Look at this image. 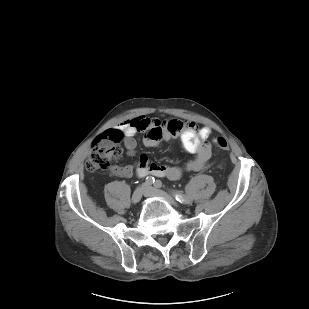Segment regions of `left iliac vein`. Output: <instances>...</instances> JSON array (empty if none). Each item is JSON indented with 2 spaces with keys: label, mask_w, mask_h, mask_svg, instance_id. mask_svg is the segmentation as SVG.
Masks as SVG:
<instances>
[{
  "label": "left iliac vein",
  "mask_w": 309,
  "mask_h": 309,
  "mask_svg": "<svg viewBox=\"0 0 309 309\" xmlns=\"http://www.w3.org/2000/svg\"><path fill=\"white\" fill-rule=\"evenodd\" d=\"M145 196H157V197H161L163 199H165L169 204H171L172 206H177L178 203L174 200V198L167 194L166 192L162 191V190H157L151 186L147 185V191L145 193Z\"/></svg>",
  "instance_id": "left-iliac-vein-1"
}]
</instances>
